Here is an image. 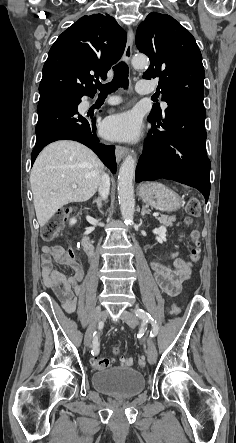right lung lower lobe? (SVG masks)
Here are the masks:
<instances>
[{
  "mask_svg": "<svg viewBox=\"0 0 236 443\" xmlns=\"http://www.w3.org/2000/svg\"><path fill=\"white\" fill-rule=\"evenodd\" d=\"M93 96V95H90ZM81 97L62 92L40 94L38 122L35 128L37 140L31 154L32 164L39 152L49 143L57 140H75L91 148L101 161L116 172L115 147L98 142L95 137V119H88L77 111Z\"/></svg>",
  "mask_w": 236,
  "mask_h": 443,
  "instance_id": "98d812e1",
  "label": "right lung lower lobe"
}]
</instances>
